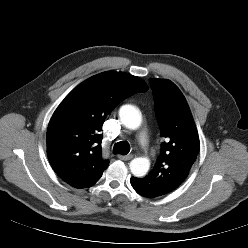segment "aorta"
Wrapping results in <instances>:
<instances>
[{"mask_svg": "<svg viewBox=\"0 0 248 248\" xmlns=\"http://www.w3.org/2000/svg\"><path fill=\"white\" fill-rule=\"evenodd\" d=\"M119 117L126 128L135 130L141 125V113L133 105H123L119 110ZM131 173L136 177L146 175L150 168V161L147 158H135L130 162Z\"/></svg>", "mask_w": 248, "mask_h": 248, "instance_id": "aorta-1", "label": "aorta"}]
</instances>
